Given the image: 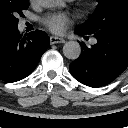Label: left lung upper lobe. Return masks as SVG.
Returning <instances> with one entry per match:
<instances>
[{
	"label": "left lung upper lobe",
	"mask_w": 128,
	"mask_h": 128,
	"mask_svg": "<svg viewBox=\"0 0 128 128\" xmlns=\"http://www.w3.org/2000/svg\"><path fill=\"white\" fill-rule=\"evenodd\" d=\"M94 15L79 29L88 34L128 32V0H98Z\"/></svg>",
	"instance_id": "5c2ea615"
}]
</instances>
